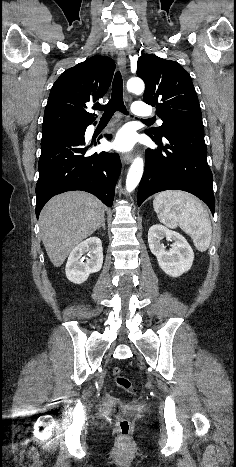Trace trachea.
Returning <instances> with one entry per match:
<instances>
[{
    "label": "trachea",
    "instance_id": "obj_1",
    "mask_svg": "<svg viewBox=\"0 0 236 467\" xmlns=\"http://www.w3.org/2000/svg\"><path fill=\"white\" fill-rule=\"evenodd\" d=\"M96 109L104 111L102 119H110L116 111H120L126 115L129 114L123 102V80L119 71L115 73L113 79L110 102L107 105L98 106ZM144 121L154 122L153 119H146Z\"/></svg>",
    "mask_w": 236,
    "mask_h": 467
}]
</instances>
